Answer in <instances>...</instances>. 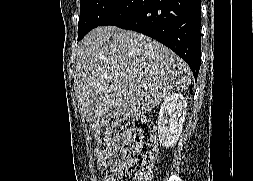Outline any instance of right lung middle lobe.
Instances as JSON below:
<instances>
[{
	"label": "right lung middle lobe",
	"mask_w": 253,
	"mask_h": 181,
	"mask_svg": "<svg viewBox=\"0 0 253 181\" xmlns=\"http://www.w3.org/2000/svg\"><path fill=\"white\" fill-rule=\"evenodd\" d=\"M128 0H81L78 37L102 23L120 9Z\"/></svg>",
	"instance_id": "1"
}]
</instances>
